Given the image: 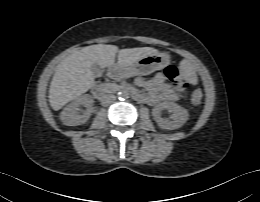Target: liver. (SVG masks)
<instances>
[{
	"label": "liver",
	"instance_id": "liver-1",
	"mask_svg": "<svg viewBox=\"0 0 260 202\" xmlns=\"http://www.w3.org/2000/svg\"><path fill=\"white\" fill-rule=\"evenodd\" d=\"M118 53V63L131 64L140 58L157 54L151 47L118 50L115 45L97 44L84 47L60 62L52 78L49 89V103L54 110H60L65 104L87 92L94 84L95 76L91 72L93 63L102 68L113 65Z\"/></svg>",
	"mask_w": 260,
	"mask_h": 202
}]
</instances>
